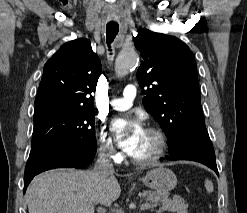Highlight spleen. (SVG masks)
<instances>
[{
    "instance_id": "obj_1",
    "label": "spleen",
    "mask_w": 247,
    "mask_h": 213,
    "mask_svg": "<svg viewBox=\"0 0 247 213\" xmlns=\"http://www.w3.org/2000/svg\"><path fill=\"white\" fill-rule=\"evenodd\" d=\"M205 188H206L207 192H212L214 189L213 183L208 179H206V181H205Z\"/></svg>"
}]
</instances>
